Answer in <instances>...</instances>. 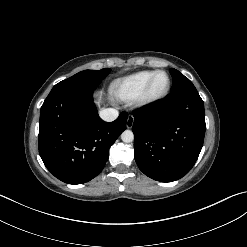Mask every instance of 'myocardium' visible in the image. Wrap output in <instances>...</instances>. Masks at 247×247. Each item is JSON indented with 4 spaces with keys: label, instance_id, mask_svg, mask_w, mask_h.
I'll return each instance as SVG.
<instances>
[{
    "label": "myocardium",
    "instance_id": "obj_1",
    "mask_svg": "<svg viewBox=\"0 0 247 247\" xmlns=\"http://www.w3.org/2000/svg\"><path fill=\"white\" fill-rule=\"evenodd\" d=\"M159 75H164L166 77L167 82L165 88L161 92L155 93L153 87L155 80ZM170 88H171V79L169 74L163 70L156 71L148 81L145 89L143 90L142 94L137 99V101L140 105H149L156 103L161 99H163L168 94Z\"/></svg>",
    "mask_w": 247,
    "mask_h": 247
}]
</instances>
